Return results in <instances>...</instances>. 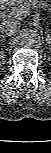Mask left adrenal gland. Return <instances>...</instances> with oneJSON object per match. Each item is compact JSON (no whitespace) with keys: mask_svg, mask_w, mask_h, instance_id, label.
Wrapping results in <instances>:
<instances>
[{"mask_svg":"<svg viewBox=\"0 0 51 153\" xmlns=\"http://www.w3.org/2000/svg\"><path fill=\"white\" fill-rule=\"evenodd\" d=\"M46 41L49 43V41H50V35L48 34V33H46Z\"/></svg>","mask_w":51,"mask_h":153,"instance_id":"obj_1","label":"left adrenal gland"}]
</instances>
